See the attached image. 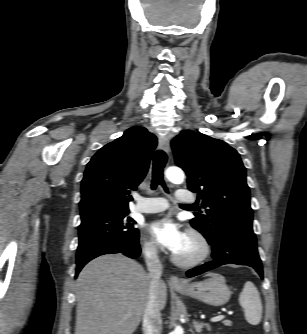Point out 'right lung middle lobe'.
<instances>
[{
	"label": "right lung middle lobe",
	"instance_id": "1",
	"mask_svg": "<svg viewBox=\"0 0 307 334\" xmlns=\"http://www.w3.org/2000/svg\"><path fill=\"white\" fill-rule=\"evenodd\" d=\"M128 212H100L81 216L77 262L103 249H117L135 244L139 231L127 218Z\"/></svg>",
	"mask_w": 307,
	"mask_h": 334
}]
</instances>
